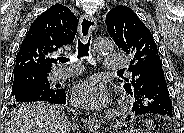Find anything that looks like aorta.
Returning a JSON list of instances; mask_svg holds the SVG:
<instances>
[{"label":"aorta","mask_w":184,"mask_h":133,"mask_svg":"<svg viewBox=\"0 0 184 133\" xmlns=\"http://www.w3.org/2000/svg\"><path fill=\"white\" fill-rule=\"evenodd\" d=\"M93 49L101 54H107L114 50V44L106 38H97L93 41Z\"/></svg>","instance_id":"obj_1"}]
</instances>
